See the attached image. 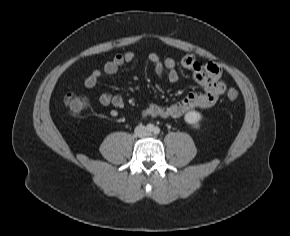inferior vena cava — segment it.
Returning <instances> with one entry per match:
<instances>
[{"label": "inferior vena cava", "mask_w": 290, "mask_h": 236, "mask_svg": "<svg viewBox=\"0 0 290 236\" xmlns=\"http://www.w3.org/2000/svg\"><path fill=\"white\" fill-rule=\"evenodd\" d=\"M135 135L138 137H144L148 135V131L145 126L139 125L135 128Z\"/></svg>", "instance_id": "1"}]
</instances>
